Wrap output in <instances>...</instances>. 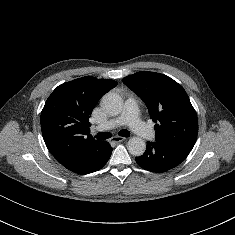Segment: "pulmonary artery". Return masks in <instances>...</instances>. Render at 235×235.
<instances>
[{
  "mask_svg": "<svg viewBox=\"0 0 235 235\" xmlns=\"http://www.w3.org/2000/svg\"><path fill=\"white\" fill-rule=\"evenodd\" d=\"M123 125H128L135 133L142 137L151 136L150 129L138 116V106L133 98L126 100L121 115L96 126L95 129L106 131Z\"/></svg>",
  "mask_w": 235,
  "mask_h": 235,
  "instance_id": "e3ab8cb5",
  "label": "pulmonary artery"
}]
</instances>
